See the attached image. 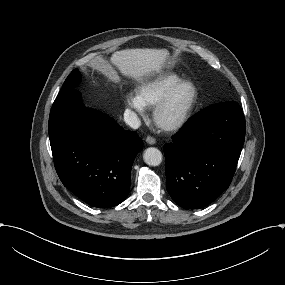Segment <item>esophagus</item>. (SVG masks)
<instances>
[{
  "label": "esophagus",
  "instance_id": "1",
  "mask_svg": "<svg viewBox=\"0 0 285 285\" xmlns=\"http://www.w3.org/2000/svg\"><path fill=\"white\" fill-rule=\"evenodd\" d=\"M146 142H147L149 145H154V144L156 143V140H155L154 137L148 136V137L146 138Z\"/></svg>",
  "mask_w": 285,
  "mask_h": 285
}]
</instances>
